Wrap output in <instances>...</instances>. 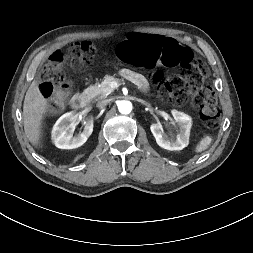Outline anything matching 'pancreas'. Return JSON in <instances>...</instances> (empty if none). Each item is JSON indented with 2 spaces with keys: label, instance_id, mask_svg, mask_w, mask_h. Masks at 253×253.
<instances>
[{
  "label": "pancreas",
  "instance_id": "cf45deb5",
  "mask_svg": "<svg viewBox=\"0 0 253 253\" xmlns=\"http://www.w3.org/2000/svg\"><path fill=\"white\" fill-rule=\"evenodd\" d=\"M112 82H119V79L114 76L106 75L103 81L99 84L91 85L85 90V94L94 100H99L107 97L114 89L110 86Z\"/></svg>",
  "mask_w": 253,
  "mask_h": 253
}]
</instances>
